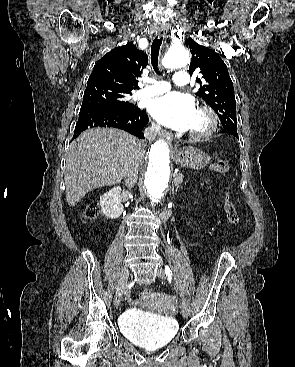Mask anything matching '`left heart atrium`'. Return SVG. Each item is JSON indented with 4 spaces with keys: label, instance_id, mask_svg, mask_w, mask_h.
Returning a JSON list of instances; mask_svg holds the SVG:
<instances>
[{
    "label": "left heart atrium",
    "instance_id": "obj_1",
    "mask_svg": "<svg viewBox=\"0 0 295 367\" xmlns=\"http://www.w3.org/2000/svg\"><path fill=\"white\" fill-rule=\"evenodd\" d=\"M149 112L160 124L182 131L190 128L197 113L193 99L179 92L152 100Z\"/></svg>",
    "mask_w": 295,
    "mask_h": 367
}]
</instances>
